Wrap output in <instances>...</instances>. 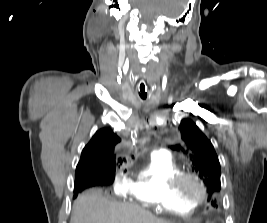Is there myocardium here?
I'll list each match as a JSON object with an SVG mask.
<instances>
[{
	"instance_id": "1",
	"label": "myocardium",
	"mask_w": 267,
	"mask_h": 223,
	"mask_svg": "<svg viewBox=\"0 0 267 223\" xmlns=\"http://www.w3.org/2000/svg\"><path fill=\"white\" fill-rule=\"evenodd\" d=\"M194 182L200 188L199 195H193L188 190V183ZM171 191L183 201L198 205L202 203L208 195V189L205 182L196 173L181 172L171 180Z\"/></svg>"
}]
</instances>
